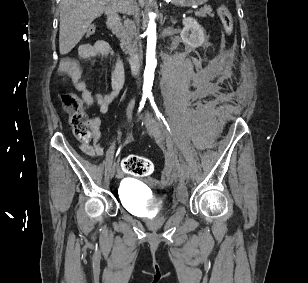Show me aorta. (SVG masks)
Returning <instances> with one entry per match:
<instances>
[{"mask_svg":"<svg viewBox=\"0 0 308 283\" xmlns=\"http://www.w3.org/2000/svg\"><path fill=\"white\" fill-rule=\"evenodd\" d=\"M150 20L146 30L147 34V55H146V67L144 71V87L151 88L154 80V72L157 65L155 58L156 47V23L154 20V14L149 15Z\"/></svg>","mask_w":308,"mask_h":283,"instance_id":"762f6f07","label":"aorta"}]
</instances>
